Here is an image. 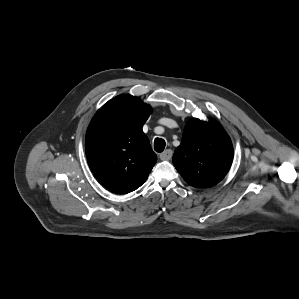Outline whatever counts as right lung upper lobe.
<instances>
[{
    "mask_svg": "<svg viewBox=\"0 0 299 299\" xmlns=\"http://www.w3.org/2000/svg\"><path fill=\"white\" fill-rule=\"evenodd\" d=\"M152 108L138 97L122 94L92 118L85 138L91 171L107 189L129 193L147 179L157 161L142 127Z\"/></svg>",
    "mask_w": 299,
    "mask_h": 299,
    "instance_id": "cb5924a9",
    "label": "right lung upper lobe"
}]
</instances>
